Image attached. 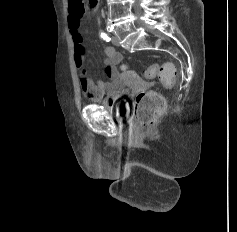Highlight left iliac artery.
<instances>
[{
    "label": "left iliac artery",
    "mask_w": 237,
    "mask_h": 232,
    "mask_svg": "<svg viewBox=\"0 0 237 232\" xmlns=\"http://www.w3.org/2000/svg\"><path fill=\"white\" fill-rule=\"evenodd\" d=\"M100 37L102 39H104L105 41H107V42H109L111 40L110 37L105 32H103L102 30H100Z\"/></svg>",
    "instance_id": "44dca946"
}]
</instances>
